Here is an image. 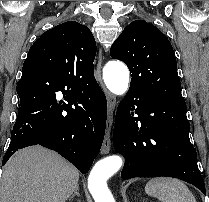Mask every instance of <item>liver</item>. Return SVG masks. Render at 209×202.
<instances>
[{
  "instance_id": "liver-1",
  "label": "liver",
  "mask_w": 209,
  "mask_h": 202,
  "mask_svg": "<svg viewBox=\"0 0 209 202\" xmlns=\"http://www.w3.org/2000/svg\"><path fill=\"white\" fill-rule=\"evenodd\" d=\"M79 171L40 146L18 151L0 179V202H65L78 187Z\"/></svg>"
}]
</instances>
